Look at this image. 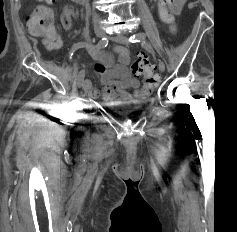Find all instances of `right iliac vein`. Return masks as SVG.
<instances>
[{
    "label": "right iliac vein",
    "instance_id": "obj_1",
    "mask_svg": "<svg viewBox=\"0 0 237 232\" xmlns=\"http://www.w3.org/2000/svg\"><path fill=\"white\" fill-rule=\"evenodd\" d=\"M95 34L98 38H102L104 37L105 32L101 27H97L95 28ZM84 78H85V71L81 70L77 75V84L79 88L83 86Z\"/></svg>",
    "mask_w": 237,
    "mask_h": 232
}]
</instances>
